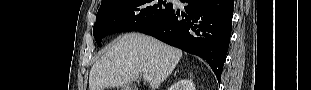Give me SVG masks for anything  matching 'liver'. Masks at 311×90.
Returning <instances> with one entry per match:
<instances>
[{"label": "liver", "mask_w": 311, "mask_h": 90, "mask_svg": "<svg viewBox=\"0 0 311 90\" xmlns=\"http://www.w3.org/2000/svg\"><path fill=\"white\" fill-rule=\"evenodd\" d=\"M182 51L140 33L119 37L90 70L89 90L129 85L140 74H148L156 90L173 72Z\"/></svg>", "instance_id": "1"}]
</instances>
